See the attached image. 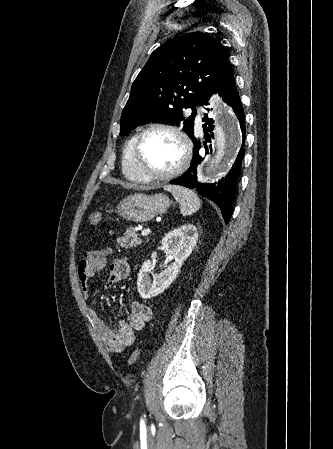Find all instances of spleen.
<instances>
[{"mask_svg":"<svg viewBox=\"0 0 333 449\" xmlns=\"http://www.w3.org/2000/svg\"><path fill=\"white\" fill-rule=\"evenodd\" d=\"M164 190L170 192L179 203L182 215H191L199 210L201 200L192 190L178 185H167Z\"/></svg>","mask_w":333,"mask_h":449,"instance_id":"obj_1","label":"spleen"}]
</instances>
